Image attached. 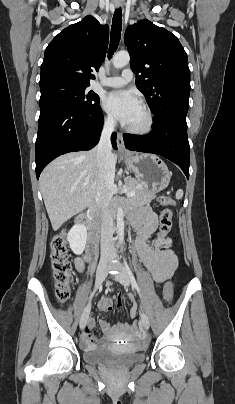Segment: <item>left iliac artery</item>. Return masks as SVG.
Masks as SVG:
<instances>
[{
    "mask_svg": "<svg viewBox=\"0 0 235 404\" xmlns=\"http://www.w3.org/2000/svg\"><path fill=\"white\" fill-rule=\"evenodd\" d=\"M124 264H125L126 272H127L128 276L130 278V281H131V284H132L133 288H135L137 290L138 294L141 296V291H140V288H139V286H138V284L136 282L134 274L132 273V271L129 268V266H128L125 259H124Z\"/></svg>",
    "mask_w": 235,
    "mask_h": 404,
    "instance_id": "44dca946",
    "label": "left iliac artery"
}]
</instances>
